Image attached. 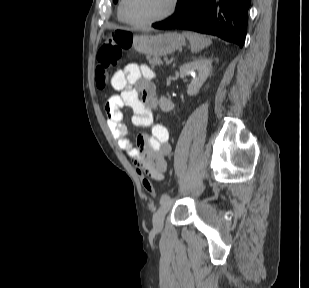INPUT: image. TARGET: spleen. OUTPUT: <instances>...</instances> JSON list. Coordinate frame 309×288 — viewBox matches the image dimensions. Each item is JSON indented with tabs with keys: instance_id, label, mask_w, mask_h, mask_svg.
Listing matches in <instances>:
<instances>
[{
	"instance_id": "1",
	"label": "spleen",
	"mask_w": 309,
	"mask_h": 288,
	"mask_svg": "<svg viewBox=\"0 0 309 288\" xmlns=\"http://www.w3.org/2000/svg\"><path fill=\"white\" fill-rule=\"evenodd\" d=\"M183 36L189 40L192 53H197L212 43L210 38L195 32L185 31Z\"/></svg>"
}]
</instances>
